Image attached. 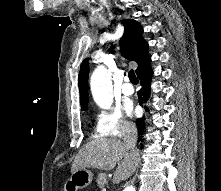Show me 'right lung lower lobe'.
Returning a JSON list of instances; mask_svg holds the SVG:
<instances>
[{
    "instance_id": "right-lung-lower-lobe-1",
    "label": "right lung lower lobe",
    "mask_w": 221,
    "mask_h": 191,
    "mask_svg": "<svg viewBox=\"0 0 221 191\" xmlns=\"http://www.w3.org/2000/svg\"><path fill=\"white\" fill-rule=\"evenodd\" d=\"M152 75H153V71L150 67V64L137 73V76L140 79V85L142 86V88L138 91V98H139L140 105L146 102L149 98L150 82H151ZM145 109L147 108L145 107ZM144 119L145 117H142L136 120L138 134L140 135L139 140H141V135H143L145 131Z\"/></svg>"
}]
</instances>
